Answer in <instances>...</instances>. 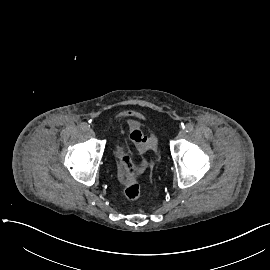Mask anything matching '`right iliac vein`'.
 Segmentation results:
<instances>
[{
    "label": "right iliac vein",
    "mask_w": 270,
    "mask_h": 270,
    "mask_svg": "<svg viewBox=\"0 0 270 270\" xmlns=\"http://www.w3.org/2000/svg\"><path fill=\"white\" fill-rule=\"evenodd\" d=\"M87 133L90 137H95V132L92 129H89Z\"/></svg>",
    "instance_id": "1"
}]
</instances>
